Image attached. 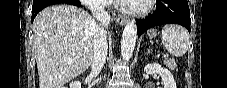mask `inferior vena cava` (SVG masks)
Here are the masks:
<instances>
[{
  "label": "inferior vena cava",
  "mask_w": 227,
  "mask_h": 88,
  "mask_svg": "<svg viewBox=\"0 0 227 88\" xmlns=\"http://www.w3.org/2000/svg\"><path fill=\"white\" fill-rule=\"evenodd\" d=\"M104 6V3H95L91 5L93 16L100 23L94 33V48L91 70L93 75H98L102 70L106 62L108 52L106 27L109 25L110 15L104 9Z\"/></svg>",
  "instance_id": "inferior-vena-cava-1"
}]
</instances>
